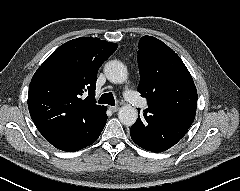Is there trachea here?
<instances>
[{"mask_svg": "<svg viewBox=\"0 0 240 191\" xmlns=\"http://www.w3.org/2000/svg\"><path fill=\"white\" fill-rule=\"evenodd\" d=\"M99 103L114 106L115 105V99H114L113 94L111 92L103 94L99 99Z\"/></svg>", "mask_w": 240, "mask_h": 191, "instance_id": "1", "label": "trachea"}]
</instances>
